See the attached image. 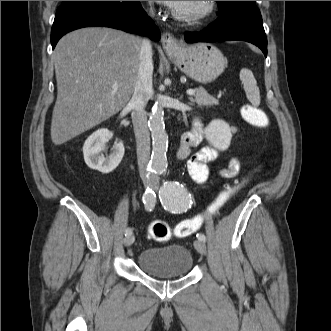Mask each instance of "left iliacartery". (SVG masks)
Wrapping results in <instances>:
<instances>
[{"label": "left iliac artery", "mask_w": 331, "mask_h": 331, "mask_svg": "<svg viewBox=\"0 0 331 331\" xmlns=\"http://www.w3.org/2000/svg\"><path fill=\"white\" fill-rule=\"evenodd\" d=\"M164 172L165 169H157L155 171L157 174H163ZM159 193V198L164 209L171 213L180 214L191 208V195L187 192L185 187L178 182H164ZM197 238L203 242L206 240L205 235L202 233L197 234Z\"/></svg>", "instance_id": "1"}]
</instances>
